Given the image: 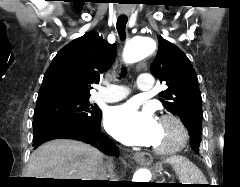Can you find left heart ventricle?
I'll return each mask as SVG.
<instances>
[{
	"instance_id": "b2bd125f",
	"label": "left heart ventricle",
	"mask_w": 240,
	"mask_h": 187,
	"mask_svg": "<svg viewBox=\"0 0 240 187\" xmlns=\"http://www.w3.org/2000/svg\"><path fill=\"white\" fill-rule=\"evenodd\" d=\"M175 135H176L175 130L172 125L161 124L159 122V132H158L157 139H156L155 143L153 144V146L160 147V146L168 145L174 141Z\"/></svg>"
}]
</instances>
